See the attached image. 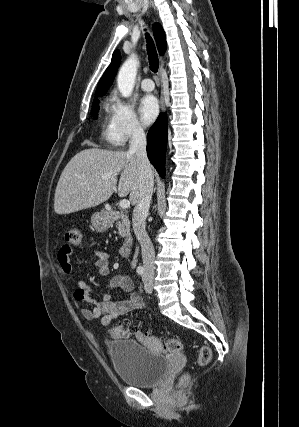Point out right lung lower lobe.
<instances>
[{
	"label": "right lung lower lobe",
	"instance_id": "right-lung-lower-lobe-1",
	"mask_svg": "<svg viewBox=\"0 0 299 427\" xmlns=\"http://www.w3.org/2000/svg\"><path fill=\"white\" fill-rule=\"evenodd\" d=\"M167 130V118L165 115H161L147 135L148 158L162 178L165 176Z\"/></svg>",
	"mask_w": 299,
	"mask_h": 427
}]
</instances>
